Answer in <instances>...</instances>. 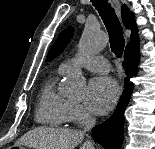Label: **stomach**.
Instances as JSON below:
<instances>
[{
    "mask_svg": "<svg viewBox=\"0 0 155 149\" xmlns=\"http://www.w3.org/2000/svg\"><path fill=\"white\" fill-rule=\"evenodd\" d=\"M18 149H26L24 146L17 147Z\"/></svg>",
    "mask_w": 155,
    "mask_h": 149,
    "instance_id": "1",
    "label": "stomach"
}]
</instances>
